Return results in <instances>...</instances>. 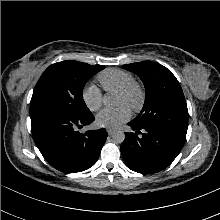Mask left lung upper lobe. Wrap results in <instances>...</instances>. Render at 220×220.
Segmentation results:
<instances>
[{
    "label": "left lung upper lobe",
    "mask_w": 220,
    "mask_h": 220,
    "mask_svg": "<svg viewBox=\"0 0 220 220\" xmlns=\"http://www.w3.org/2000/svg\"><path fill=\"white\" fill-rule=\"evenodd\" d=\"M123 68L136 73L146 89L143 109L132 122L138 126L166 127L186 136L188 109L172 72L152 61L123 65Z\"/></svg>",
    "instance_id": "1"
}]
</instances>
